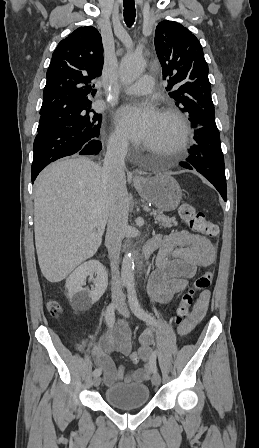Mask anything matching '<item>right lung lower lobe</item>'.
Listing matches in <instances>:
<instances>
[{"mask_svg":"<svg viewBox=\"0 0 259 448\" xmlns=\"http://www.w3.org/2000/svg\"><path fill=\"white\" fill-rule=\"evenodd\" d=\"M95 134L78 131L72 127H56L38 133L34 141V157L31 179L51 162L75 153L97 155L102 150L101 141Z\"/></svg>","mask_w":259,"mask_h":448,"instance_id":"98d812e1","label":"right lung lower lobe"}]
</instances>
